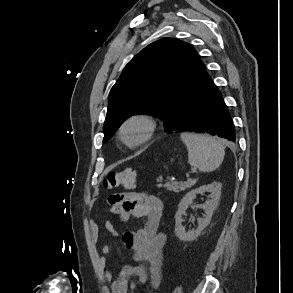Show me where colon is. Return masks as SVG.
<instances>
[{"label": "colon", "instance_id": "obj_1", "mask_svg": "<svg viewBox=\"0 0 293 293\" xmlns=\"http://www.w3.org/2000/svg\"><path fill=\"white\" fill-rule=\"evenodd\" d=\"M137 184V174L133 169H125L122 171H111L103 180L106 189L126 188L133 189ZM133 293V292H131Z\"/></svg>", "mask_w": 293, "mask_h": 293}]
</instances>
